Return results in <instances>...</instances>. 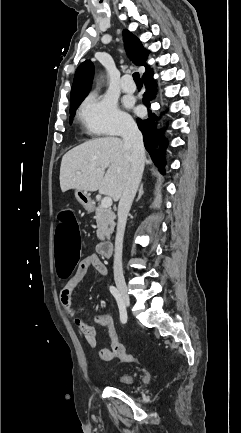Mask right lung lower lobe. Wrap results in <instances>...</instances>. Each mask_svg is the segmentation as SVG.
Instances as JSON below:
<instances>
[{"label":"right lung lower lobe","instance_id":"1","mask_svg":"<svg viewBox=\"0 0 241 433\" xmlns=\"http://www.w3.org/2000/svg\"><path fill=\"white\" fill-rule=\"evenodd\" d=\"M143 82L146 86V92L144 93V102L146 105H148L150 100H152L156 94L153 73L151 72L145 77H143ZM150 112L151 111L149 110V117L147 119L137 118V124L143 134V140L146 149L149 151L155 165L163 173L165 171L166 161L162 157V155L165 154L168 142L167 140H164L162 132L158 133V131L156 130L155 121H157L159 118H157L154 113L151 114ZM156 143H160L162 146L158 153L154 149V145Z\"/></svg>","mask_w":241,"mask_h":433}]
</instances>
